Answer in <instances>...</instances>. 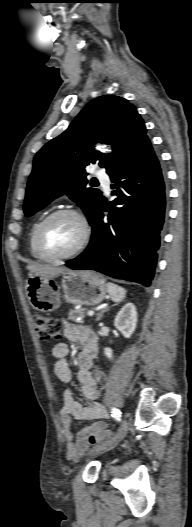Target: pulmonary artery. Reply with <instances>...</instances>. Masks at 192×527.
Instances as JSON below:
<instances>
[{"label":"pulmonary artery","mask_w":192,"mask_h":527,"mask_svg":"<svg viewBox=\"0 0 192 527\" xmlns=\"http://www.w3.org/2000/svg\"><path fill=\"white\" fill-rule=\"evenodd\" d=\"M97 179L102 183L104 190L107 194L110 193V179L103 171H97Z\"/></svg>","instance_id":"pulmonary-artery-1"}]
</instances>
